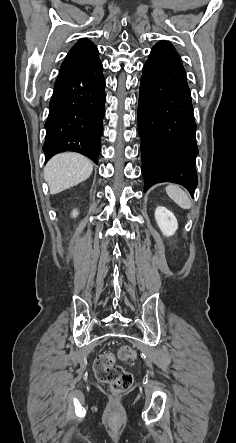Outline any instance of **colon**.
I'll use <instances>...</instances> for the list:
<instances>
[{
    "mask_svg": "<svg viewBox=\"0 0 236 443\" xmlns=\"http://www.w3.org/2000/svg\"><path fill=\"white\" fill-rule=\"evenodd\" d=\"M136 351L129 345H124L119 351V357L123 361L133 362L136 359ZM96 377L107 383L116 393L127 391L133 382L132 375L123 367L115 364L112 354H103L94 362Z\"/></svg>",
    "mask_w": 236,
    "mask_h": 443,
    "instance_id": "colon-1",
    "label": "colon"
}]
</instances>
